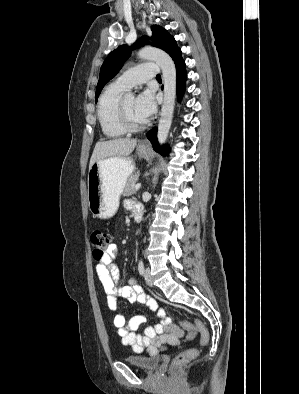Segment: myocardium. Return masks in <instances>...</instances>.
Wrapping results in <instances>:
<instances>
[{
  "label": "myocardium",
  "mask_w": 299,
  "mask_h": 394,
  "mask_svg": "<svg viewBox=\"0 0 299 394\" xmlns=\"http://www.w3.org/2000/svg\"><path fill=\"white\" fill-rule=\"evenodd\" d=\"M124 102H125V98L122 97L118 104V119L121 126L126 132H136L141 130L145 126V122L143 121L142 123L139 124H135L131 122V120L127 115Z\"/></svg>",
  "instance_id": "f54148a6"
}]
</instances>
